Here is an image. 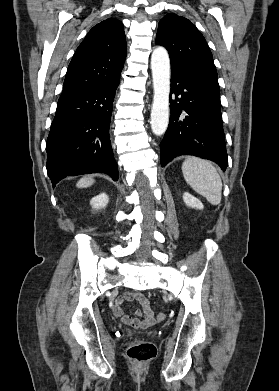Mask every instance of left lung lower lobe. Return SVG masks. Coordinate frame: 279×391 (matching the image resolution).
I'll return each instance as SVG.
<instances>
[{
	"label": "left lung lower lobe",
	"instance_id": "obj_1",
	"mask_svg": "<svg viewBox=\"0 0 279 391\" xmlns=\"http://www.w3.org/2000/svg\"><path fill=\"white\" fill-rule=\"evenodd\" d=\"M172 95V96H171ZM170 121L160 143L161 166L180 155H194L228 166L220 95L171 72Z\"/></svg>",
	"mask_w": 279,
	"mask_h": 391
}]
</instances>
